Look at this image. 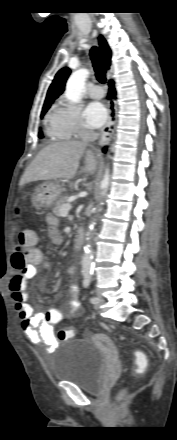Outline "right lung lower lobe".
I'll list each match as a JSON object with an SVG mask.
<instances>
[{
    "instance_id": "obj_1",
    "label": "right lung lower lobe",
    "mask_w": 177,
    "mask_h": 440,
    "mask_svg": "<svg viewBox=\"0 0 177 440\" xmlns=\"http://www.w3.org/2000/svg\"><path fill=\"white\" fill-rule=\"evenodd\" d=\"M109 86H110V88H109L108 98L109 99H115L116 92H115V89H114L113 81L109 82ZM105 151H106V148L103 149V152H105Z\"/></svg>"
}]
</instances>
